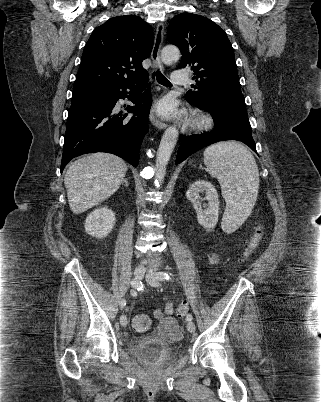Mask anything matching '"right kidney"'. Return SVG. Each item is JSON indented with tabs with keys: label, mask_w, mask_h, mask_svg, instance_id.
I'll use <instances>...</instances> for the list:
<instances>
[{
	"label": "right kidney",
	"mask_w": 321,
	"mask_h": 402,
	"mask_svg": "<svg viewBox=\"0 0 321 402\" xmlns=\"http://www.w3.org/2000/svg\"><path fill=\"white\" fill-rule=\"evenodd\" d=\"M115 221V213L107 207H101L87 216L85 230L93 237L103 238L112 231Z\"/></svg>",
	"instance_id": "ca27d5eb"
}]
</instances>
